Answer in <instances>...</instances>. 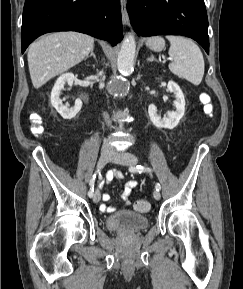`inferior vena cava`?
Segmentation results:
<instances>
[{
	"mask_svg": "<svg viewBox=\"0 0 243 289\" xmlns=\"http://www.w3.org/2000/svg\"><path fill=\"white\" fill-rule=\"evenodd\" d=\"M104 117H105V120L107 121V123L110 124V121L108 120V115L104 114ZM102 150L110 152V153L114 152V149H113V147L111 146V144L109 142H104L103 143Z\"/></svg>",
	"mask_w": 243,
	"mask_h": 289,
	"instance_id": "inferior-vena-cava-1",
	"label": "inferior vena cava"
}]
</instances>
